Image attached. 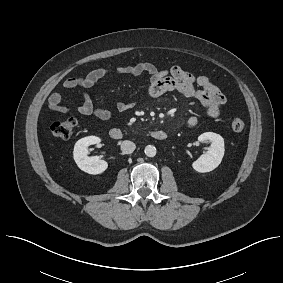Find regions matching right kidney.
I'll list each match as a JSON object with an SVG mask.
<instances>
[{
	"instance_id": "right-kidney-1",
	"label": "right kidney",
	"mask_w": 283,
	"mask_h": 283,
	"mask_svg": "<svg viewBox=\"0 0 283 283\" xmlns=\"http://www.w3.org/2000/svg\"><path fill=\"white\" fill-rule=\"evenodd\" d=\"M101 139L96 136H88L78 140L74 146L73 158L77 166L88 174H101L107 167L108 163L101 160L98 156H87L88 147L93 144H99Z\"/></svg>"
}]
</instances>
